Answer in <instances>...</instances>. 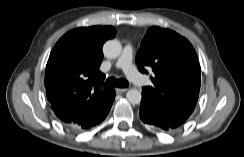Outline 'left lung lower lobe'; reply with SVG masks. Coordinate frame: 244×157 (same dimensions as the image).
Listing matches in <instances>:
<instances>
[{"instance_id": "0a47b994", "label": "left lung lower lobe", "mask_w": 244, "mask_h": 157, "mask_svg": "<svg viewBox=\"0 0 244 157\" xmlns=\"http://www.w3.org/2000/svg\"><path fill=\"white\" fill-rule=\"evenodd\" d=\"M139 117L145 124L157 132H170L176 129L150 101L143 98L140 103Z\"/></svg>"}]
</instances>
